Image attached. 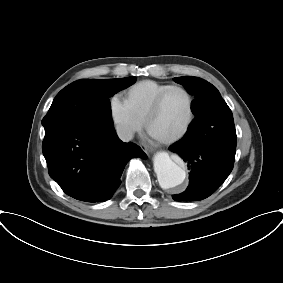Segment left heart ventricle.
<instances>
[{"label": "left heart ventricle", "instance_id": "1", "mask_svg": "<svg viewBox=\"0 0 283 283\" xmlns=\"http://www.w3.org/2000/svg\"><path fill=\"white\" fill-rule=\"evenodd\" d=\"M188 106L184 92L171 91L150 123V134L155 138H167L177 133L188 117Z\"/></svg>", "mask_w": 283, "mask_h": 283}]
</instances>
